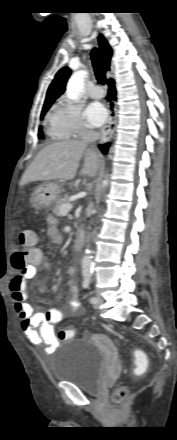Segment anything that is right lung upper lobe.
<instances>
[{
	"instance_id": "obj_1",
	"label": "right lung upper lobe",
	"mask_w": 177,
	"mask_h": 440,
	"mask_svg": "<svg viewBox=\"0 0 177 440\" xmlns=\"http://www.w3.org/2000/svg\"><path fill=\"white\" fill-rule=\"evenodd\" d=\"M100 52L105 60L106 69H110V61L112 56V49L110 48L107 40L100 35L98 37ZM71 74V70L68 67L60 69L51 85L48 88L45 103L54 102L64 91L66 82Z\"/></svg>"
}]
</instances>
